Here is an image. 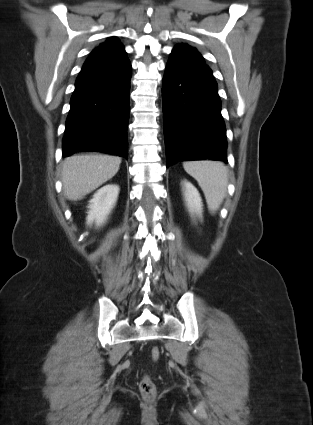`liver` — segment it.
Here are the masks:
<instances>
[{
  "label": "liver",
  "mask_w": 313,
  "mask_h": 425,
  "mask_svg": "<svg viewBox=\"0 0 313 425\" xmlns=\"http://www.w3.org/2000/svg\"><path fill=\"white\" fill-rule=\"evenodd\" d=\"M120 164V157L110 155L86 154L66 158L62 166L65 196L71 201L83 199L111 179Z\"/></svg>",
  "instance_id": "obj_1"
}]
</instances>
